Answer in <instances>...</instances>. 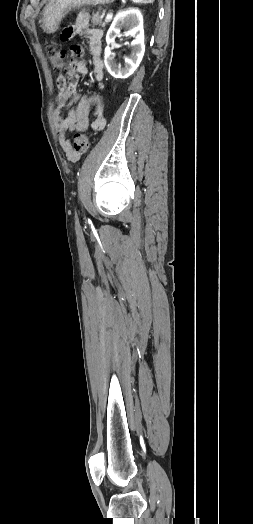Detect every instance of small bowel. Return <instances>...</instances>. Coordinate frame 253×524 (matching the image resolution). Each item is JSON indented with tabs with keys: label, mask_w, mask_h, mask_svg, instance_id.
Masks as SVG:
<instances>
[{
	"label": "small bowel",
	"mask_w": 253,
	"mask_h": 524,
	"mask_svg": "<svg viewBox=\"0 0 253 524\" xmlns=\"http://www.w3.org/2000/svg\"><path fill=\"white\" fill-rule=\"evenodd\" d=\"M88 39L89 50L92 60L91 69L80 60H74L70 64L63 66V73L57 79L59 95L57 108L54 112L57 135L61 148L69 158L71 152V142L67 133L77 130L84 131L91 127L94 131H101L105 127V119L101 115L103 109L102 99L98 95H81L77 92L76 86L79 76L87 75L89 72L92 77L100 83L102 87L107 85L102 58V31L89 26L88 17L85 14L79 16L73 25H64L60 32V37L64 44H73L76 33ZM76 56L83 57L85 50L82 47L72 46ZM71 54V51H68ZM77 105L76 109L72 107ZM91 110L94 117H90Z\"/></svg>",
	"instance_id": "c3829d8e"
}]
</instances>
